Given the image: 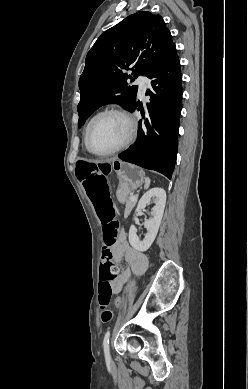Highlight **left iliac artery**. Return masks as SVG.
<instances>
[{"label": "left iliac artery", "instance_id": "obj_1", "mask_svg": "<svg viewBox=\"0 0 248 389\" xmlns=\"http://www.w3.org/2000/svg\"><path fill=\"white\" fill-rule=\"evenodd\" d=\"M109 338H110V331H107L105 333L104 340H103L104 354H105V359L107 361L110 360Z\"/></svg>", "mask_w": 248, "mask_h": 389}]
</instances>
